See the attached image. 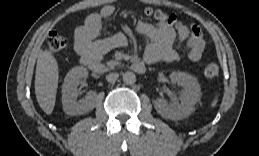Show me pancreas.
<instances>
[{"mask_svg": "<svg viewBox=\"0 0 259 156\" xmlns=\"http://www.w3.org/2000/svg\"><path fill=\"white\" fill-rule=\"evenodd\" d=\"M106 65H107L108 68L114 69L116 66L120 65V62L116 61V60H110V61L106 62Z\"/></svg>", "mask_w": 259, "mask_h": 156, "instance_id": "obj_1", "label": "pancreas"}]
</instances>
